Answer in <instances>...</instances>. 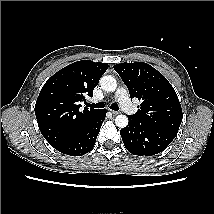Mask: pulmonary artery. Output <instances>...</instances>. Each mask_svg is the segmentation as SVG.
<instances>
[{"mask_svg": "<svg viewBox=\"0 0 214 214\" xmlns=\"http://www.w3.org/2000/svg\"><path fill=\"white\" fill-rule=\"evenodd\" d=\"M115 99L118 100L121 107L128 113L132 114L134 112V107L131 104L127 89L123 86L119 87L114 95Z\"/></svg>", "mask_w": 214, "mask_h": 214, "instance_id": "obj_1", "label": "pulmonary artery"}]
</instances>
